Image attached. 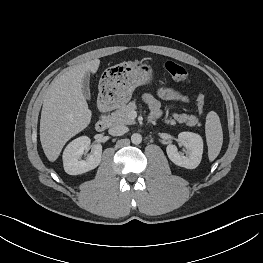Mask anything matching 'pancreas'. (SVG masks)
<instances>
[{
  "label": "pancreas",
  "mask_w": 263,
  "mask_h": 263,
  "mask_svg": "<svg viewBox=\"0 0 263 263\" xmlns=\"http://www.w3.org/2000/svg\"><path fill=\"white\" fill-rule=\"evenodd\" d=\"M136 109L135 102H130L127 105L121 106L119 109H117L115 112L111 113L110 116H108V119L112 123V125H132L135 124V120L130 117V112L132 110ZM173 119H167L165 122L168 124H174L175 121L179 123H186L187 126L193 127V126H199V120L194 115H188V114H177L174 113Z\"/></svg>",
  "instance_id": "1"
}]
</instances>
